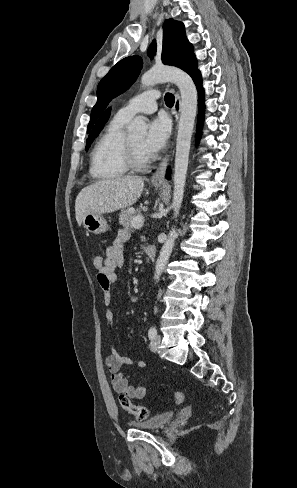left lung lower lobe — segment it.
Here are the masks:
<instances>
[{"instance_id":"1","label":"left lung lower lobe","mask_w":297,"mask_h":488,"mask_svg":"<svg viewBox=\"0 0 297 488\" xmlns=\"http://www.w3.org/2000/svg\"><path fill=\"white\" fill-rule=\"evenodd\" d=\"M193 81L196 84L197 90H198V97H199V109H200V114H199V120H198V130L200 131L202 123H203V110H204V91L202 88V78L201 74L198 73L194 76H192ZM198 137H200V133L198 134ZM167 179H169V170L167 171Z\"/></svg>"}]
</instances>
